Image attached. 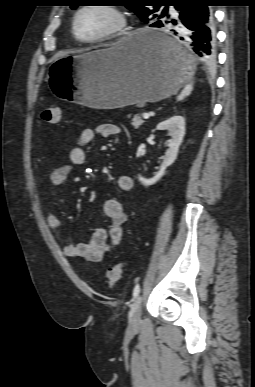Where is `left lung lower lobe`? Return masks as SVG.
I'll list each match as a JSON object with an SVG mask.
<instances>
[{
	"mask_svg": "<svg viewBox=\"0 0 255 387\" xmlns=\"http://www.w3.org/2000/svg\"><path fill=\"white\" fill-rule=\"evenodd\" d=\"M212 0H175L168 6H173L176 19L167 15L160 16L159 20L150 24V27H163L187 42L194 52L205 64H213L216 58V38L214 29ZM171 24L178 26V31L170 29ZM143 36V41L150 47L161 52L168 59L180 60L183 56L179 53L176 43L161 32L150 29Z\"/></svg>",
	"mask_w": 255,
	"mask_h": 387,
	"instance_id": "obj_1",
	"label": "left lung lower lobe"
}]
</instances>
